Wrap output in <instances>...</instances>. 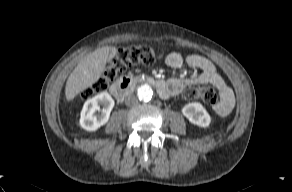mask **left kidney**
<instances>
[{"mask_svg": "<svg viewBox=\"0 0 292 192\" xmlns=\"http://www.w3.org/2000/svg\"><path fill=\"white\" fill-rule=\"evenodd\" d=\"M182 114L194 125L207 127L211 122V117L198 102L188 103L182 108Z\"/></svg>", "mask_w": 292, "mask_h": 192, "instance_id": "5707ae66", "label": "left kidney"}]
</instances>
